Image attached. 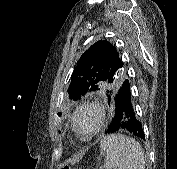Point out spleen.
I'll use <instances>...</instances> for the list:
<instances>
[{"label": "spleen", "instance_id": "obj_1", "mask_svg": "<svg viewBox=\"0 0 177 169\" xmlns=\"http://www.w3.org/2000/svg\"><path fill=\"white\" fill-rule=\"evenodd\" d=\"M100 156L104 157V165L100 169H145L141 145L123 134L104 136L100 141Z\"/></svg>", "mask_w": 177, "mask_h": 169}]
</instances>
